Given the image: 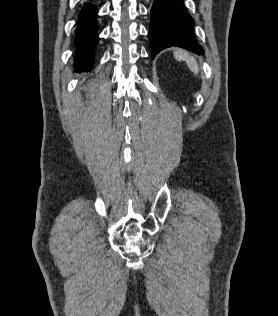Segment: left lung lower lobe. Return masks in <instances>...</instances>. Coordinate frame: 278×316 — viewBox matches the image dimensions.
Listing matches in <instances>:
<instances>
[{
  "instance_id": "obj_1",
  "label": "left lung lower lobe",
  "mask_w": 278,
  "mask_h": 316,
  "mask_svg": "<svg viewBox=\"0 0 278 316\" xmlns=\"http://www.w3.org/2000/svg\"><path fill=\"white\" fill-rule=\"evenodd\" d=\"M150 16L149 36L153 58L171 46L203 54L194 37V21L182 0H154Z\"/></svg>"
}]
</instances>
